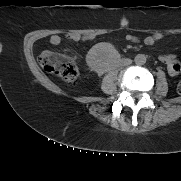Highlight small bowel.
<instances>
[{"mask_svg": "<svg viewBox=\"0 0 181 181\" xmlns=\"http://www.w3.org/2000/svg\"><path fill=\"white\" fill-rule=\"evenodd\" d=\"M67 37L74 41L79 40H90L93 37L91 35L81 36L79 34H69ZM164 35L162 33H154L152 35L146 36L143 40L144 44L151 46L154 45L156 42L160 41ZM127 41L136 43L138 42V38L132 35L126 36ZM62 41V37L60 35H53L50 37L49 42L52 45H59ZM160 61L164 63L167 67L168 73L171 76H178L181 74V63L176 59V57L172 54L169 55H162L160 56Z\"/></svg>", "mask_w": 181, "mask_h": 181, "instance_id": "obj_1", "label": "small bowel"}]
</instances>
